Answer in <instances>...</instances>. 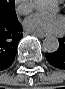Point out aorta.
I'll list each match as a JSON object with an SVG mask.
<instances>
[{"instance_id":"aorta-1","label":"aorta","mask_w":65,"mask_h":89,"mask_svg":"<svg viewBox=\"0 0 65 89\" xmlns=\"http://www.w3.org/2000/svg\"><path fill=\"white\" fill-rule=\"evenodd\" d=\"M32 7L39 12L46 13L49 12L52 7V2L50 0H33ZM43 49L47 53H54L59 48V41L54 36H48L43 40Z\"/></svg>"}]
</instances>
